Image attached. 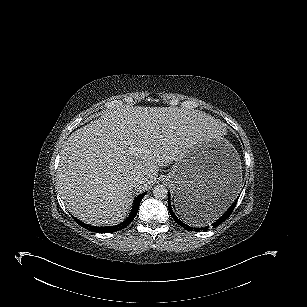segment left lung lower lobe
<instances>
[{
	"label": "left lung lower lobe",
	"mask_w": 307,
	"mask_h": 307,
	"mask_svg": "<svg viewBox=\"0 0 307 307\" xmlns=\"http://www.w3.org/2000/svg\"><path fill=\"white\" fill-rule=\"evenodd\" d=\"M168 201H169V202H168V204H169V205H168L169 212H170L172 218L175 220V222H176L177 224H179L181 227H183V228H185V229H187V230L196 231V232H199L200 230H203V231H207V230H208L209 227H205V228H195V227H194V228H193V227H190V226L184 224L183 222H181V221L178 219V217L174 214V212H173V210H172V208H171L170 195H169ZM235 206H236V202L233 203V204L230 206V208L225 212V214H224L221 218H219L216 222H214V223L212 224V227H217V226L220 225L223 221H225L227 218H229L230 215H231V213H232V211L234 210Z\"/></svg>",
	"instance_id": "obj_1"
}]
</instances>
